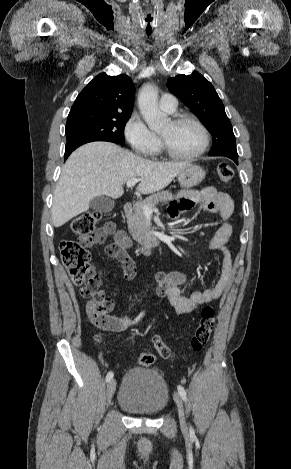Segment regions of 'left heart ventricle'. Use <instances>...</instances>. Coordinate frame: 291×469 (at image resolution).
Returning <instances> with one entry per match:
<instances>
[{"label": "left heart ventricle", "mask_w": 291, "mask_h": 469, "mask_svg": "<svg viewBox=\"0 0 291 469\" xmlns=\"http://www.w3.org/2000/svg\"><path fill=\"white\" fill-rule=\"evenodd\" d=\"M160 135L166 140L171 150L179 155L195 153L202 143L200 130L195 124L188 121L177 125L169 122L160 131Z\"/></svg>", "instance_id": "b2bd125f"}]
</instances>
